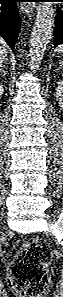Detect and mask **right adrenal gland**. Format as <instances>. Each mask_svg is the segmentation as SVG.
Here are the masks:
<instances>
[{
  "mask_svg": "<svg viewBox=\"0 0 63 297\" xmlns=\"http://www.w3.org/2000/svg\"><path fill=\"white\" fill-rule=\"evenodd\" d=\"M0 67H1L0 68V76L5 77V75H6V71H5L6 65H1Z\"/></svg>",
  "mask_w": 63,
  "mask_h": 297,
  "instance_id": "right-adrenal-gland-1",
  "label": "right adrenal gland"
}]
</instances>
